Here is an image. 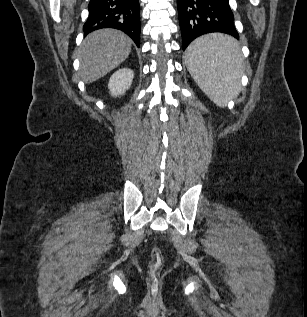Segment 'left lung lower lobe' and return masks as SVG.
Returning <instances> with one entry per match:
<instances>
[{
  "label": "left lung lower lobe",
  "mask_w": 307,
  "mask_h": 317,
  "mask_svg": "<svg viewBox=\"0 0 307 317\" xmlns=\"http://www.w3.org/2000/svg\"><path fill=\"white\" fill-rule=\"evenodd\" d=\"M177 7L183 50L197 37L212 32L226 33L239 39L229 0H177ZM235 51V46L225 48L212 59L226 61L235 55Z\"/></svg>",
  "instance_id": "obj_1"
}]
</instances>
